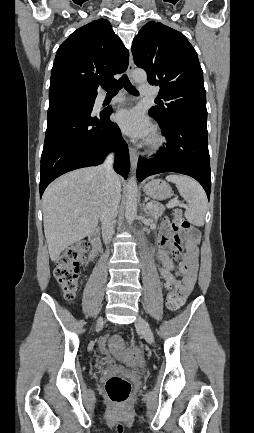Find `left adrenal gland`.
<instances>
[{
  "instance_id": "left-adrenal-gland-1",
  "label": "left adrenal gland",
  "mask_w": 254,
  "mask_h": 433,
  "mask_svg": "<svg viewBox=\"0 0 254 433\" xmlns=\"http://www.w3.org/2000/svg\"><path fill=\"white\" fill-rule=\"evenodd\" d=\"M143 211H144L146 214H148L147 209H146V207H145L144 204H143Z\"/></svg>"
}]
</instances>
